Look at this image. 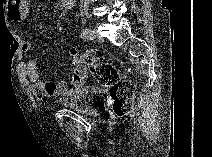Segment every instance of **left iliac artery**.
Returning <instances> with one entry per match:
<instances>
[{
    "instance_id": "left-iliac-artery-1",
    "label": "left iliac artery",
    "mask_w": 212,
    "mask_h": 157,
    "mask_svg": "<svg viewBox=\"0 0 212 157\" xmlns=\"http://www.w3.org/2000/svg\"><path fill=\"white\" fill-rule=\"evenodd\" d=\"M93 31L91 29H84L81 32V38L87 39V40H92L93 39Z\"/></svg>"
}]
</instances>
